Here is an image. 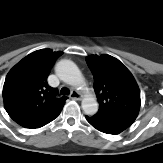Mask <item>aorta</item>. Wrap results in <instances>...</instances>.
<instances>
[{"label":"aorta","instance_id":"aorta-1","mask_svg":"<svg viewBox=\"0 0 163 163\" xmlns=\"http://www.w3.org/2000/svg\"><path fill=\"white\" fill-rule=\"evenodd\" d=\"M56 73L61 80L69 85L80 87L84 84L79 68L70 60L60 61L56 66ZM82 109L85 114L94 115L98 111V103L95 98L86 96L82 100Z\"/></svg>","mask_w":163,"mask_h":163}]
</instances>
